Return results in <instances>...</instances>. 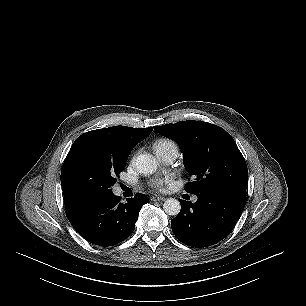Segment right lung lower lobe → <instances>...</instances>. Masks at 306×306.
<instances>
[{
  "label": "right lung lower lobe",
  "mask_w": 306,
  "mask_h": 306,
  "mask_svg": "<svg viewBox=\"0 0 306 306\" xmlns=\"http://www.w3.org/2000/svg\"><path fill=\"white\" fill-rule=\"evenodd\" d=\"M148 201L146 195L136 194L123 204L118 196L112 194L66 211L67 218L88 242L99 246H112L132 234L139 211Z\"/></svg>",
  "instance_id": "98d812e1"
}]
</instances>
